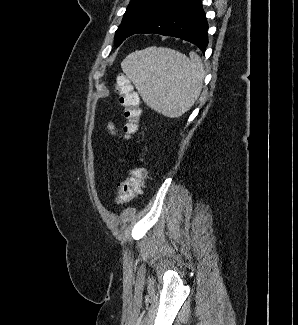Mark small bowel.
<instances>
[{
	"mask_svg": "<svg viewBox=\"0 0 298 325\" xmlns=\"http://www.w3.org/2000/svg\"><path fill=\"white\" fill-rule=\"evenodd\" d=\"M108 128L112 134H115L116 132V127L113 123H109Z\"/></svg>",
	"mask_w": 298,
	"mask_h": 325,
	"instance_id": "1",
	"label": "small bowel"
}]
</instances>
